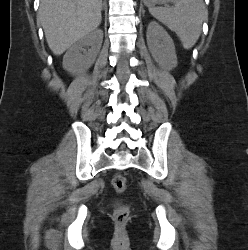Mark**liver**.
<instances>
[{"label": "liver", "instance_id": "obj_1", "mask_svg": "<svg viewBox=\"0 0 248 250\" xmlns=\"http://www.w3.org/2000/svg\"><path fill=\"white\" fill-rule=\"evenodd\" d=\"M102 0H41L40 21L49 48L63 54L101 23Z\"/></svg>", "mask_w": 248, "mask_h": 250}]
</instances>
